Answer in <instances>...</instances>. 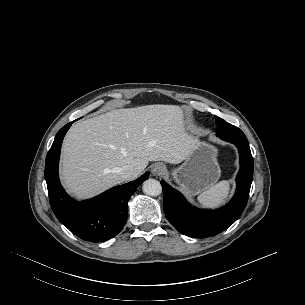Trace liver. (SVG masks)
<instances>
[{
	"label": "liver",
	"mask_w": 305,
	"mask_h": 305,
	"mask_svg": "<svg viewBox=\"0 0 305 305\" xmlns=\"http://www.w3.org/2000/svg\"><path fill=\"white\" fill-rule=\"evenodd\" d=\"M196 142L179 106L112 110L70 128L62 146L61 179L75 197H91L123 182L120 168L131 165L130 179H135L150 161L181 163Z\"/></svg>",
	"instance_id": "liver-1"
}]
</instances>
